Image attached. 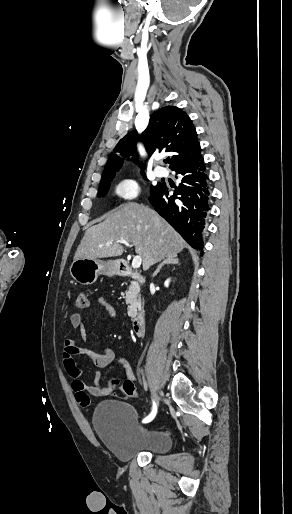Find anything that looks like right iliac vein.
Here are the masks:
<instances>
[{
  "mask_svg": "<svg viewBox=\"0 0 292 514\" xmlns=\"http://www.w3.org/2000/svg\"><path fill=\"white\" fill-rule=\"evenodd\" d=\"M154 395H155V400H156V402H158V401H159V395H158L156 392H155V394H154Z\"/></svg>",
  "mask_w": 292,
  "mask_h": 514,
  "instance_id": "63e3f726",
  "label": "right iliac vein"
}]
</instances>
